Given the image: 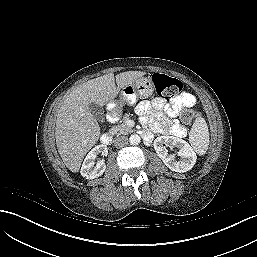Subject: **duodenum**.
<instances>
[{"label": "duodenum", "instance_id": "obj_1", "mask_svg": "<svg viewBox=\"0 0 257 257\" xmlns=\"http://www.w3.org/2000/svg\"><path fill=\"white\" fill-rule=\"evenodd\" d=\"M116 114L112 113L110 116H109V121L110 122H115L116 121ZM142 136H144L145 138L147 137L146 136V132L145 131H142L141 132ZM112 141V137L110 134L108 133H105L103 134L101 137H100V142L103 144V145H109Z\"/></svg>", "mask_w": 257, "mask_h": 257}]
</instances>
